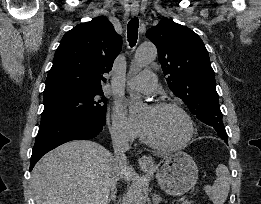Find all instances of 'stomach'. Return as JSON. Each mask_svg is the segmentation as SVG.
<instances>
[{"label":"stomach","instance_id":"stomach-1","mask_svg":"<svg viewBox=\"0 0 261 204\" xmlns=\"http://www.w3.org/2000/svg\"><path fill=\"white\" fill-rule=\"evenodd\" d=\"M145 172L150 168L141 166ZM156 179L166 193L179 196L192 189L198 180V168L193 158L185 152L170 154L160 169L156 171Z\"/></svg>","mask_w":261,"mask_h":204}]
</instances>
